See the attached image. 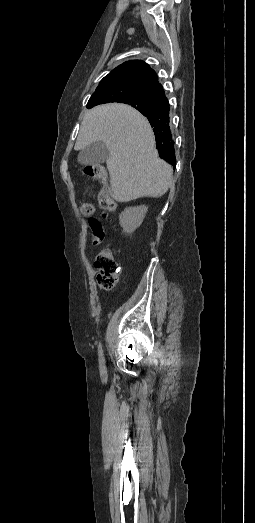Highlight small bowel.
Wrapping results in <instances>:
<instances>
[{
	"label": "small bowel",
	"instance_id": "obj_1",
	"mask_svg": "<svg viewBox=\"0 0 255 523\" xmlns=\"http://www.w3.org/2000/svg\"><path fill=\"white\" fill-rule=\"evenodd\" d=\"M89 227L92 231V244L99 245L104 240V230L102 224L97 219H89Z\"/></svg>",
	"mask_w": 255,
	"mask_h": 523
}]
</instances>
